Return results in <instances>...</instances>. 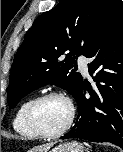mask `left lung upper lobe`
<instances>
[{"mask_svg": "<svg viewBox=\"0 0 123 152\" xmlns=\"http://www.w3.org/2000/svg\"><path fill=\"white\" fill-rule=\"evenodd\" d=\"M120 3L121 0H61L40 15L15 55L8 88L9 107L14 108L21 98L47 84L76 97L83 83L82 76L75 73L76 56L87 57ZM65 53V59H61Z\"/></svg>", "mask_w": 123, "mask_h": 152, "instance_id": "5c2ea615", "label": "left lung upper lobe"}]
</instances>
